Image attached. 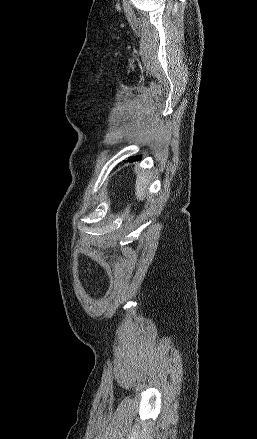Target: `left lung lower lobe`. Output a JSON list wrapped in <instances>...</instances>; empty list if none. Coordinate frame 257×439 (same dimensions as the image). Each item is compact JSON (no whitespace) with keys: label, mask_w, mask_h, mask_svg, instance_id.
Wrapping results in <instances>:
<instances>
[{"label":"left lung lower lobe","mask_w":257,"mask_h":439,"mask_svg":"<svg viewBox=\"0 0 257 439\" xmlns=\"http://www.w3.org/2000/svg\"><path fill=\"white\" fill-rule=\"evenodd\" d=\"M141 159V156H134L130 157L128 162L133 163L134 161H139Z\"/></svg>","instance_id":"left-lung-lower-lobe-1"}]
</instances>
